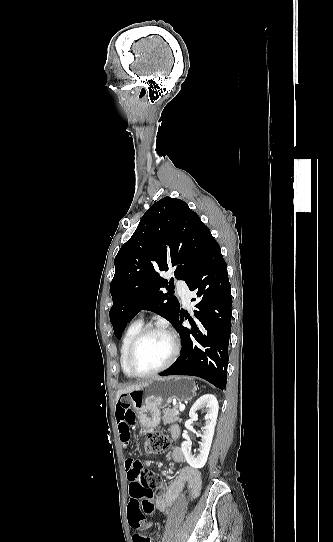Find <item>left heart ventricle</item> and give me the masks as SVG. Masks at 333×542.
<instances>
[{
	"instance_id": "obj_1",
	"label": "left heart ventricle",
	"mask_w": 333,
	"mask_h": 542,
	"mask_svg": "<svg viewBox=\"0 0 333 542\" xmlns=\"http://www.w3.org/2000/svg\"><path fill=\"white\" fill-rule=\"evenodd\" d=\"M169 339L161 333L144 338L135 350L132 364L137 373L146 374L159 368L169 357Z\"/></svg>"
}]
</instances>
